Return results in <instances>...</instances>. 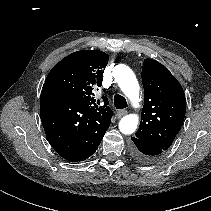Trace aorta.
Listing matches in <instances>:
<instances>
[{
    "instance_id": "obj_1",
    "label": "aorta",
    "mask_w": 211,
    "mask_h": 211,
    "mask_svg": "<svg viewBox=\"0 0 211 211\" xmlns=\"http://www.w3.org/2000/svg\"><path fill=\"white\" fill-rule=\"evenodd\" d=\"M113 75L122 92L136 104L139 101L140 87L133 71L125 65H117L113 69ZM138 121L137 115H126L119 122V130L125 135H130L135 132Z\"/></svg>"
}]
</instances>
